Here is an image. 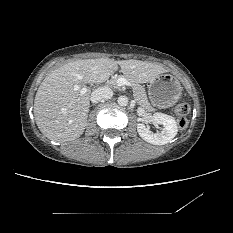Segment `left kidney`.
I'll return each instance as SVG.
<instances>
[{"label":"left kidney","mask_w":233,"mask_h":233,"mask_svg":"<svg viewBox=\"0 0 233 233\" xmlns=\"http://www.w3.org/2000/svg\"><path fill=\"white\" fill-rule=\"evenodd\" d=\"M155 124L163 125L161 132L154 133L148 126L142 123L137 125L139 136L148 143L154 145H165L170 142L177 134V124L172 116L163 113H155L152 116Z\"/></svg>","instance_id":"left-kidney-1"}]
</instances>
